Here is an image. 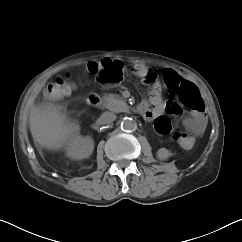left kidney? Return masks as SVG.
Wrapping results in <instances>:
<instances>
[{
    "label": "left kidney",
    "instance_id": "1",
    "mask_svg": "<svg viewBox=\"0 0 242 242\" xmlns=\"http://www.w3.org/2000/svg\"><path fill=\"white\" fill-rule=\"evenodd\" d=\"M156 156L159 160H167L171 156V153L166 148H160Z\"/></svg>",
    "mask_w": 242,
    "mask_h": 242
}]
</instances>
